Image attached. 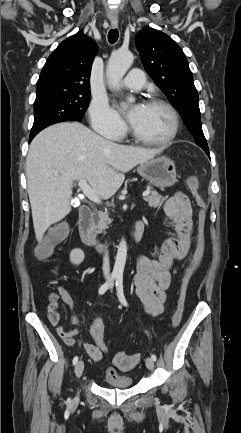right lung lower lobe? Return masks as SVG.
Wrapping results in <instances>:
<instances>
[{"mask_svg": "<svg viewBox=\"0 0 241 433\" xmlns=\"http://www.w3.org/2000/svg\"><path fill=\"white\" fill-rule=\"evenodd\" d=\"M35 137V135H30L29 137V143L31 142V140Z\"/></svg>", "mask_w": 241, "mask_h": 433, "instance_id": "obj_1", "label": "right lung lower lobe"}]
</instances>
